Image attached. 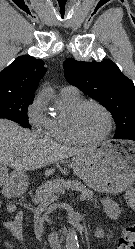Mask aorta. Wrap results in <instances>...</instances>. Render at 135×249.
<instances>
[{"mask_svg":"<svg viewBox=\"0 0 135 249\" xmlns=\"http://www.w3.org/2000/svg\"><path fill=\"white\" fill-rule=\"evenodd\" d=\"M52 94L50 92L45 93V98L47 100L52 99ZM66 249H79L78 236L74 228H71L66 236Z\"/></svg>","mask_w":135,"mask_h":249,"instance_id":"1","label":"aorta"}]
</instances>
